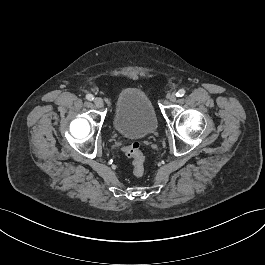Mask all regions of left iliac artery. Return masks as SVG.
I'll use <instances>...</instances> for the list:
<instances>
[{
    "instance_id": "obj_1",
    "label": "left iliac artery",
    "mask_w": 265,
    "mask_h": 265,
    "mask_svg": "<svg viewBox=\"0 0 265 265\" xmlns=\"http://www.w3.org/2000/svg\"><path fill=\"white\" fill-rule=\"evenodd\" d=\"M186 93V91L184 89H180L177 93H176V96L177 97H182L184 96V94Z\"/></svg>"
}]
</instances>
